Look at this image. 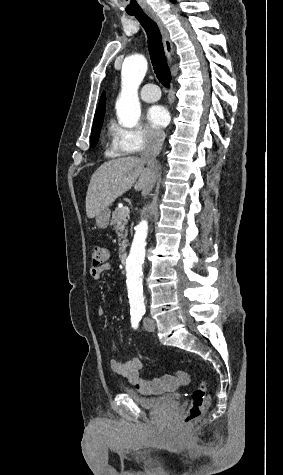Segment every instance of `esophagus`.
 I'll list each match as a JSON object with an SVG mask.
<instances>
[{"label":"esophagus","mask_w":283,"mask_h":475,"mask_svg":"<svg viewBox=\"0 0 283 475\" xmlns=\"http://www.w3.org/2000/svg\"><path fill=\"white\" fill-rule=\"evenodd\" d=\"M146 13L152 20H154V22L157 23V25H158L161 33H162V36H163V45H164L165 53H166L168 59L171 60V56H172V53H173V47H172V43L170 41L167 29L165 28V25L163 24L162 20L159 18V16L154 11L146 10Z\"/></svg>","instance_id":"obj_1"}]
</instances>
